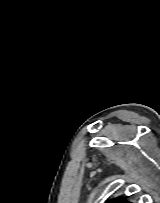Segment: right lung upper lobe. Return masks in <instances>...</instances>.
Wrapping results in <instances>:
<instances>
[{
  "instance_id": "cb5924a9",
  "label": "right lung upper lobe",
  "mask_w": 160,
  "mask_h": 203,
  "mask_svg": "<svg viewBox=\"0 0 160 203\" xmlns=\"http://www.w3.org/2000/svg\"><path fill=\"white\" fill-rule=\"evenodd\" d=\"M106 203H130V202L125 201V200L122 199V198H116V199H112L111 201L106 202Z\"/></svg>"
}]
</instances>
